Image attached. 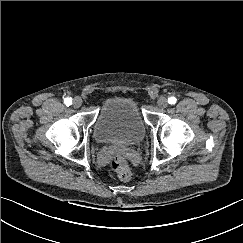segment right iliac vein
Segmentation results:
<instances>
[{
  "mask_svg": "<svg viewBox=\"0 0 243 243\" xmlns=\"http://www.w3.org/2000/svg\"><path fill=\"white\" fill-rule=\"evenodd\" d=\"M82 105V99L80 97H75L73 99L74 108H79Z\"/></svg>",
  "mask_w": 243,
  "mask_h": 243,
  "instance_id": "right-iliac-vein-1",
  "label": "right iliac vein"
}]
</instances>
